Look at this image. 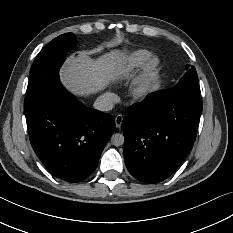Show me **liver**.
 <instances>
[{
    "label": "liver",
    "mask_w": 233,
    "mask_h": 233,
    "mask_svg": "<svg viewBox=\"0 0 233 233\" xmlns=\"http://www.w3.org/2000/svg\"><path fill=\"white\" fill-rule=\"evenodd\" d=\"M126 55L119 50L92 59L85 51L67 58L60 71L61 81L72 93L89 96L104 90L111 81L127 76ZM156 87L153 85L150 91Z\"/></svg>",
    "instance_id": "liver-1"
}]
</instances>
